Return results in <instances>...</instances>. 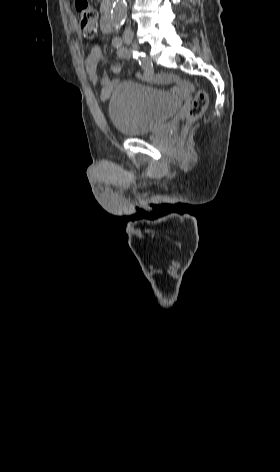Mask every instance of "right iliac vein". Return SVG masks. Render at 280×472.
I'll return each instance as SVG.
<instances>
[{
	"instance_id": "63e3f726",
	"label": "right iliac vein",
	"mask_w": 280,
	"mask_h": 472,
	"mask_svg": "<svg viewBox=\"0 0 280 472\" xmlns=\"http://www.w3.org/2000/svg\"><path fill=\"white\" fill-rule=\"evenodd\" d=\"M133 46L135 49H138V45L136 43Z\"/></svg>"
}]
</instances>
